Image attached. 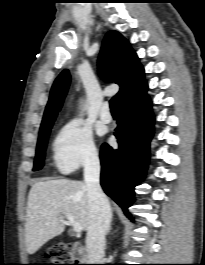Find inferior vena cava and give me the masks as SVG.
<instances>
[{
  "label": "inferior vena cava",
  "instance_id": "1",
  "mask_svg": "<svg viewBox=\"0 0 205 265\" xmlns=\"http://www.w3.org/2000/svg\"><path fill=\"white\" fill-rule=\"evenodd\" d=\"M84 180L90 207L86 251L91 264H100L104 258L105 235L110 227L111 207L100 186V161L92 154L85 162Z\"/></svg>",
  "mask_w": 205,
  "mask_h": 265
}]
</instances>
